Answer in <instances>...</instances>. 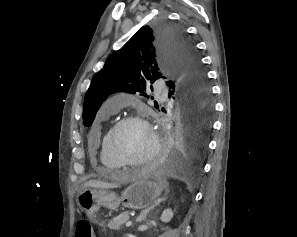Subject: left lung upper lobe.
<instances>
[{"label": "left lung upper lobe", "instance_id": "5c2ea615", "mask_svg": "<svg viewBox=\"0 0 297 237\" xmlns=\"http://www.w3.org/2000/svg\"><path fill=\"white\" fill-rule=\"evenodd\" d=\"M159 78L167 80L176 103L187 99L203 106L211 102L210 88L195 48L181 28L163 22L141 27L94 75L84 100V124H92L110 94L123 91L148 98L147 86Z\"/></svg>", "mask_w": 297, "mask_h": 237}]
</instances>
